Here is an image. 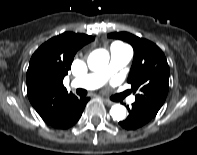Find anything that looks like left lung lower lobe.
Instances as JSON below:
<instances>
[{
  "label": "left lung lower lobe",
  "instance_id": "1",
  "mask_svg": "<svg viewBox=\"0 0 197 155\" xmlns=\"http://www.w3.org/2000/svg\"><path fill=\"white\" fill-rule=\"evenodd\" d=\"M127 108L129 116L126 118V120L119 122V124L123 128L128 130H134L145 125L156 115L152 111L148 110L147 108L136 102L132 104L131 109H129V107Z\"/></svg>",
  "mask_w": 197,
  "mask_h": 155
}]
</instances>
